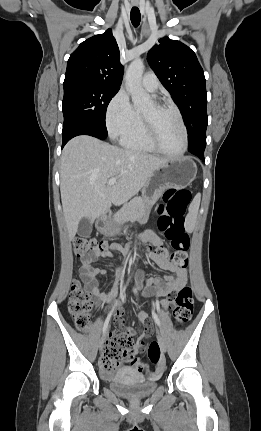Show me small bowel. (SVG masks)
<instances>
[{"mask_svg":"<svg viewBox=\"0 0 261 431\" xmlns=\"http://www.w3.org/2000/svg\"><path fill=\"white\" fill-rule=\"evenodd\" d=\"M140 241L150 242L157 246H163L162 238L157 233L151 230L146 231L140 237ZM96 255L110 256V253L108 251H103V252H97ZM149 258L153 262H155L160 269L164 271L172 272L173 276H166L163 279L159 277L148 279L146 288L144 290V295L156 296V297L169 296L171 293L180 290L187 283L188 271L186 267L177 266L174 263H172L169 259L161 258L156 253H151L149 255ZM106 272L107 271L105 269L93 268L91 266H82L80 269V276L82 280L85 282L86 287L90 290V293L93 297L95 304L99 307L103 303L111 300V295L103 292L98 285V277L100 275H104ZM136 280L138 283H140L142 281V275L138 274L136 276ZM161 305L165 309H168L169 304L167 302V299H162ZM115 316L116 318H118L119 328H122L123 323L120 319L123 318L124 316L123 311L121 310L116 311ZM138 318L142 323L141 328L137 330L132 328H123L124 333H126L128 336H131L133 334H139V337L133 346L132 359L134 360H139L135 358V354L140 353L145 349V346H146L145 337L150 335V327L146 323V318H147L146 314L143 312H140L138 314ZM129 362L131 364V360H129ZM142 364H145V363L142 362Z\"/></svg>","mask_w":261,"mask_h":431,"instance_id":"1","label":"small bowel"}]
</instances>
